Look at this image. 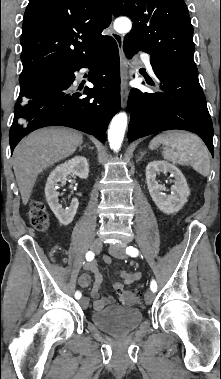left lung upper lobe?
Masks as SVG:
<instances>
[{
    "mask_svg": "<svg viewBox=\"0 0 221 379\" xmlns=\"http://www.w3.org/2000/svg\"><path fill=\"white\" fill-rule=\"evenodd\" d=\"M115 17L126 15L133 27L124 40L135 42L151 58L198 73L193 59V27L184 0H112Z\"/></svg>",
    "mask_w": 221,
    "mask_h": 379,
    "instance_id": "5c2ea615",
    "label": "left lung upper lobe"
}]
</instances>
